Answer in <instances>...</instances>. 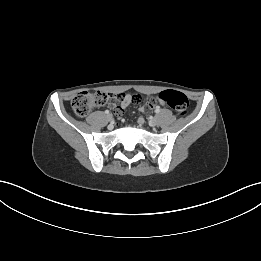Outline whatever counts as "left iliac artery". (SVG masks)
Segmentation results:
<instances>
[{
	"mask_svg": "<svg viewBox=\"0 0 261 261\" xmlns=\"http://www.w3.org/2000/svg\"><path fill=\"white\" fill-rule=\"evenodd\" d=\"M155 112H156V113H159V112H160V107H159V106L156 107Z\"/></svg>",
	"mask_w": 261,
	"mask_h": 261,
	"instance_id": "1",
	"label": "left iliac artery"
}]
</instances>
